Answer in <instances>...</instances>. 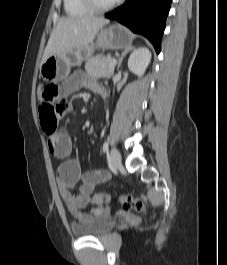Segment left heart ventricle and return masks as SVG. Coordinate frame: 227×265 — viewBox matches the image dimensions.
I'll use <instances>...</instances> for the list:
<instances>
[{
	"label": "left heart ventricle",
	"instance_id": "left-heart-ventricle-1",
	"mask_svg": "<svg viewBox=\"0 0 227 265\" xmlns=\"http://www.w3.org/2000/svg\"><path fill=\"white\" fill-rule=\"evenodd\" d=\"M114 0H96V2L99 4V5H108L110 4L111 2H113Z\"/></svg>",
	"mask_w": 227,
	"mask_h": 265
}]
</instances>
